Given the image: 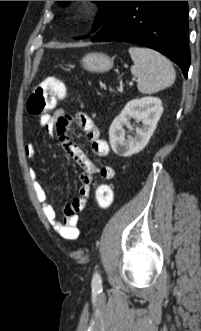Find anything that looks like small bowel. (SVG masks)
<instances>
[{
  "label": "small bowel",
  "mask_w": 201,
  "mask_h": 331,
  "mask_svg": "<svg viewBox=\"0 0 201 331\" xmlns=\"http://www.w3.org/2000/svg\"><path fill=\"white\" fill-rule=\"evenodd\" d=\"M73 124L85 133L93 154L104 160L101 165L97 166L76 143L68 138L67 134ZM40 126L49 135L56 136L59 139L67 155L82 169V185L79 188V195L65 206L63 222L58 219L54 207L47 202V193L39 180L38 172L33 168L29 170L35 194L42 204V210L47 221L62 238L75 240L79 235V214L85 208L91 195L92 175L98 174L104 180H111L115 175L114 168L107 162L109 146L100 137V131L94 121L83 112L71 116L64 109L59 108L52 114L42 115ZM25 155L29 160L35 159L36 149L33 144L25 146Z\"/></svg>",
  "instance_id": "obj_1"
}]
</instances>
